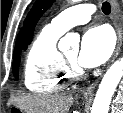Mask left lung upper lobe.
I'll use <instances>...</instances> for the list:
<instances>
[{
  "label": "left lung upper lobe",
  "mask_w": 123,
  "mask_h": 113,
  "mask_svg": "<svg viewBox=\"0 0 123 113\" xmlns=\"http://www.w3.org/2000/svg\"><path fill=\"white\" fill-rule=\"evenodd\" d=\"M55 0H36L32 9L27 15L24 25L25 32V41H24V49L27 48V45L30 44L34 27L36 26L40 17L51 7Z\"/></svg>",
  "instance_id": "1"
}]
</instances>
